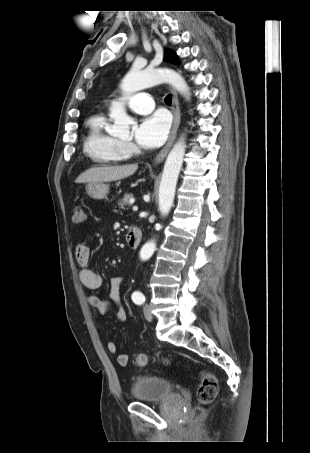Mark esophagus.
<instances>
[{
    "mask_svg": "<svg viewBox=\"0 0 310 453\" xmlns=\"http://www.w3.org/2000/svg\"><path fill=\"white\" fill-rule=\"evenodd\" d=\"M171 93H172L173 124H172V128H171L169 138H168L166 145L155 157L156 165L161 163L165 159L166 155L168 154L170 148L172 147V145L176 139L177 130H178V127L180 124L181 114H180L178 96H177L176 91L173 88H171Z\"/></svg>",
    "mask_w": 310,
    "mask_h": 453,
    "instance_id": "34e87169",
    "label": "esophagus"
}]
</instances>
